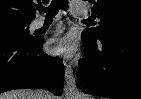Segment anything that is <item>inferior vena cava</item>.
Masks as SVG:
<instances>
[{
    "mask_svg": "<svg viewBox=\"0 0 141 99\" xmlns=\"http://www.w3.org/2000/svg\"><path fill=\"white\" fill-rule=\"evenodd\" d=\"M35 98L36 99H52L53 96L50 92L39 89L35 91Z\"/></svg>",
    "mask_w": 141,
    "mask_h": 99,
    "instance_id": "602c4592",
    "label": "inferior vena cava"
}]
</instances>
